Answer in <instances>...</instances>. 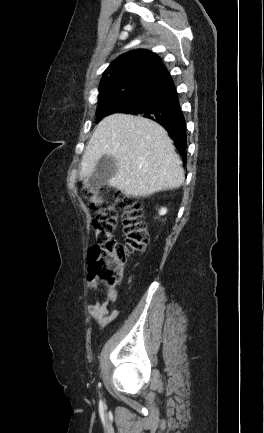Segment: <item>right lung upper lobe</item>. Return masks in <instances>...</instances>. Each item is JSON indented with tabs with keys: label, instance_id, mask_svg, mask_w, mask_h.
<instances>
[{
	"label": "right lung upper lobe",
	"instance_id": "right-lung-upper-lobe-1",
	"mask_svg": "<svg viewBox=\"0 0 264 433\" xmlns=\"http://www.w3.org/2000/svg\"><path fill=\"white\" fill-rule=\"evenodd\" d=\"M162 66L161 59L147 50L132 51L119 56L103 74L99 98L130 87H141Z\"/></svg>",
	"mask_w": 264,
	"mask_h": 433
}]
</instances>
